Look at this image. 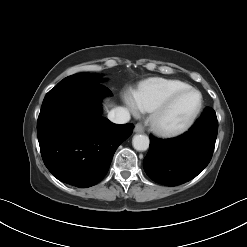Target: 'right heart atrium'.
I'll return each mask as SVG.
<instances>
[{
  "label": "right heart atrium",
  "mask_w": 247,
  "mask_h": 247,
  "mask_svg": "<svg viewBox=\"0 0 247 247\" xmlns=\"http://www.w3.org/2000/svg\"><path fill=\"white\" fill-rule=\"evenodd\" d=\"M125 102L128 108L133 112L137 113L140 110V107L137 103V100L135 98L134 92L128 91L125 93Z\"/></svg>",
  "instance_id": "d8ad5b80"
}]
</instances>
